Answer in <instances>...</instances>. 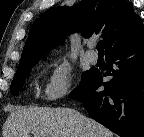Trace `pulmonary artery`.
I'll return each instance as SVG.
<instances>
[{"label":"pulmonary artery","instance_id":"1","mask_svg":"<svg viewBox=\"0 0 144 137\" xmlns=\"http://www.w3.org/2000/svg\"><path fill=\"white\" fill-rule=\"evenodd\" d=\"M95 47V43L93 41L88 42V50L86 51V59L90 62V63H96L98 60V55L97 53L93 50V48Z\"/></svg>","mask_w":144,"mask_h":137}]
</instances>
